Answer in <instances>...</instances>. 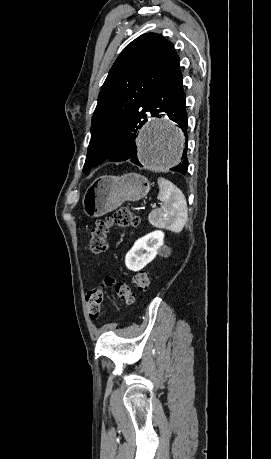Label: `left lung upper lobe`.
<instances>
[{
  "label": "left lung upper lobe",
  "mask_w": 271,
  "mask_h": 459,
  "mask_svg": "<svg viewBox=\"0 0 271 459\" xmlns=\"http://www.w3.org/2000/svg\"><path fill=\"white\" fill-rule=\"evenodd\" d=\"M178 70L173 44L159 34L141 35L121 52L99 93L83 173L112 154L119 132L148 110L150 91Z\"/></svg>",
  "instance_id": "5c2ea615"
}]
</instances>
